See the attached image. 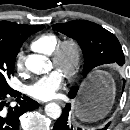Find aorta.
Listing matches in <instances>:
<instances>
[{
  "label": "aorta",
  "instance_id": "1",
  "mask_svg": "<svg viewBox=\"0 0 130 130\" xmlns=\"http://www.w3.org/2000/svg\"><path fill=\"white\" fill-rule=\"evenodd\" d=\"M26 68L35 74H44L50 71L51 64L48 59L43 55L31 54L25 60ZM61 107L52 102L45 106V113L50 118L56 119L61 115Z\"/></svg>",
  "mask_w": 130,
  "mask_h": 130
}]
</instances>
